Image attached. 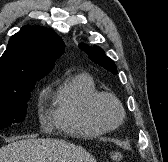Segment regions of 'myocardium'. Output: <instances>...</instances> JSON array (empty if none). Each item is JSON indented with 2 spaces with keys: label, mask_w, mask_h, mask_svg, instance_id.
<instances>
[{
  "label": "myocardium",
  "mask_w": 168,
  "mask_h": 162,
  "mask_svg": "<svg viewBox=\"0 0 168 162\" xmlns=\"http://www.w3.org/2000/svg\"><path fill=\"white\" fill-rule=\"evenodd\" d=\"M103 100H109L113 102L118 110V119L115 123H109L105 120L100 112V104ZM89 113L91 117L101 126L107 130H113L118 128L124 121L125 111L121 101L112 93L109 92H97L89 102Z\"/></svg>",
  "instance_id": "myocardium-1"
}]
</instances>
